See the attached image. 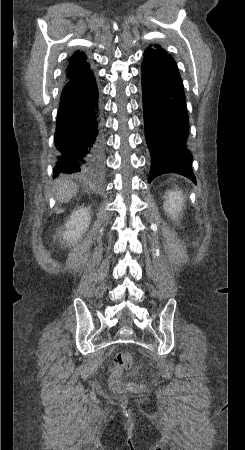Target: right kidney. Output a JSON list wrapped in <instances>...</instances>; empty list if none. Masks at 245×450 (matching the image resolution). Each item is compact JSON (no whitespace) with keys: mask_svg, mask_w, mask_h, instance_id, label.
<instances>
[{"mask_svg":"<svg viewBox=\"0 0 245 450\" xmlns=\"http://www.w3.org/2000/svg\"><path fill=\"white\" fill-rule=\"evenodd\" d=\"M90 224V209L81 207L75 210L65 224L63 239L68 246L76 243Z\"/></svg>","mask_w":245,"mask_h":450,"instance_id":"1","label":"right kidney"}]
</instances>
